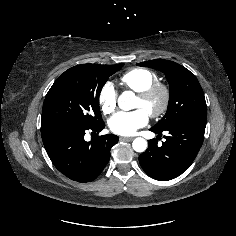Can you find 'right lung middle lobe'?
Wrapping results in <instances>:
<instances>
[{
	"label": "right lung middle lobe",
	"instance_id": "obj_1",
	"mask_svg": "<svg viewBox=\"0 0 236 236\" xmlns=\"http://www.w3.org/2000/svg\"><path fill=\"white\" fill-rule=\"evenodd\" d=\"M123 65L82 64L66 70L45 97L41 132L62 124L91 127L101 123L100 92Z\"/></svg>",
	"mask_w": 236,
	"mask_h": 236
}]
</instances>
